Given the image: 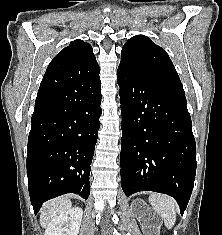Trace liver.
I'll return each mask as SVG.
<instances>
[{"instance_id":"1","label":"liver","mask_w":222,"mask_h":235,"mask_svg":"<svg viewBox=\"0 0 222 235\" xmlns=\"http://www.w3.org/2000/svg\"><path fill=\"white\" fill-rule=\"evenodd\" d=\"M72 206L70 199L67 196H62L47 202L40 215V224L46 227L52 219L61 213L66 212Z\"/></svg>"}]
</instances>
